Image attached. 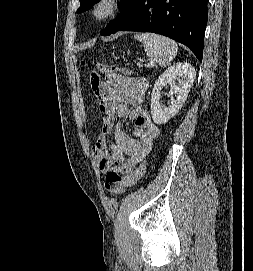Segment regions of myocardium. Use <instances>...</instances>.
<instances>
[{"label": "myocardium", "mask_w": 253, "mask_h": 271, "mask_svg": "<svg viewBox=\"0 0 253 271\" xmlns=\"http://www.w3.org/2000/svg\"><path fill=\"white\" fill-rule=\"evenodd\" d=\"M122 6V0H97L91 8V16L104 22L115 16Z\"/></svg>", "instance_id": "obj_1"}]
</instances>
